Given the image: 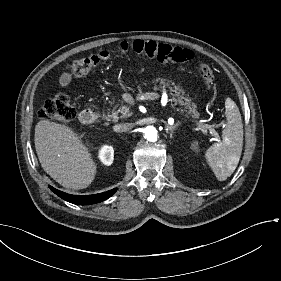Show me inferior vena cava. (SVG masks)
<instances>
[{"label":"inferior vena cava","instance_id":"602c4592","mask_svg":"<svg viewBox=\"0 0 281 281\" xmlns=\"http://www.w3.org/2000/svg\"><path fill=\"white\" fill-rule=\"evenodd\" d=\"M129 128H130V127H129L128 125H126V124H123V125L120 126V130H121V131H128Z\"/></svg>","mask_w":281,"mask_h":281}]
</instances>
